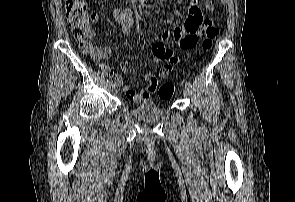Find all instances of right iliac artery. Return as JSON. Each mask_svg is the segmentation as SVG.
Wrapping results in <instances>:
<instances>
[{"instance_id": "82829eb1", "label": "right iliac artery", "mask_w": 295, "mask_h": 202, "mask_svg": "<svg viewBox=\"0 0 295 202\" xmlns=\"http://www.w3.org/2000/svg\"><path fill=\"white\" fill-rule=\"evenodd\" d=\"M111 82H110V80H107V84H110Z\"/></svg>"}]
</instances>
